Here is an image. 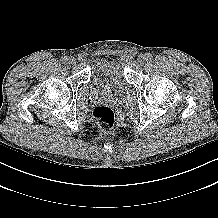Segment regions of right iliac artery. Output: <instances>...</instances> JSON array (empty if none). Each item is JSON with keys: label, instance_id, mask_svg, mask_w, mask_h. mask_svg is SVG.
Listing matches in <instances>:
<instances>
[{"label": "right iliac artery", "instance_id": "1", "mask_svg": "<svg viewBox=\"0 0 218 218\" xmlns=\"http://www.w3.org/2000/svg\"><path fill=\"white\" fill-rule=\"evenodd\" d=\"M67 61H68V58L66 56L62 58L63 63H66Z\"/></svg>", "mask_w": 218, "mask_h": 218}]
</instances>
